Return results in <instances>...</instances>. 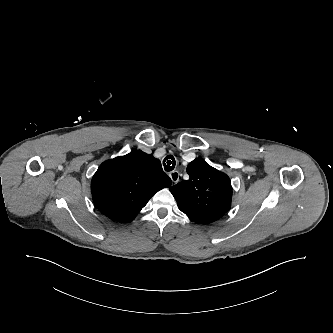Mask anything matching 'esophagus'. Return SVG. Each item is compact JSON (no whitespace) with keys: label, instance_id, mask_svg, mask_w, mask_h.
Masks as SVG:
<instances>
[{"label":"esophagus","instance_id":"obj_1","mask_svg":"<svg viewBox=\"0 0 333 333\" xmlns=\"http://www.w3.org/2000/svg\"><path fill=\"white\" fill-rule=\"evenodd\" d=\"M169 176H170L173 184H176L179 182L181 174L179 171L176 170V171L171 172Z\"/></svg>","mask_w":333,"mask_h":333}]
</instances>
